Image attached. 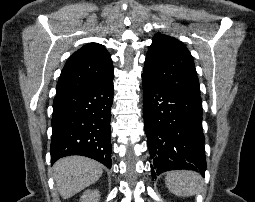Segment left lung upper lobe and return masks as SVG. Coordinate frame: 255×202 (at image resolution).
<instances>
[{"label":"left lung upper lobe","instance_id":"obj_1","mask_svg":"<svg viewBox=\"0 0 255 202\" xmlns=\"http://www.w3.org/2000/svg\"><path fill=\"white\" fill-rule=\"evenodd\" d=\"M145 78L174 91L200 95V86L193 58L179 40L156 34L148 50Z\"/></svg>","mask_w":255,"mask_h":202}]
</instances>
